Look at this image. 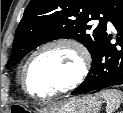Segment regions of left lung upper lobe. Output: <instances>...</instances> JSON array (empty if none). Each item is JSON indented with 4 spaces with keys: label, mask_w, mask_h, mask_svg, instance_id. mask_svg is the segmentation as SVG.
<instances>
[{
    "label": "left lung upper lobe",
    "mask_w": 123,
    "mask_h": 113,
    "mask_svg": "<svg viewBox=\"0 0 123 113\" xmlns=\"http://www.w3.org/2000/svg\"><path fill=\"white\" fill-rule=\"evenodd\" d=\"M110 0H31L24 11L12 46L7 69L37 46L59 38H73L93 56L106 33ZM103 15V17H102ZM92 20H99L91 29Z\"/></svg>",
    "instance_id": "5c2ea615"
}]
</instances>
